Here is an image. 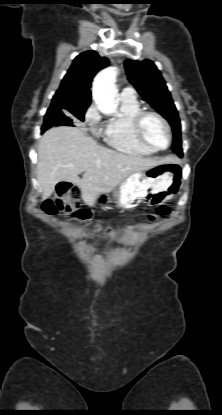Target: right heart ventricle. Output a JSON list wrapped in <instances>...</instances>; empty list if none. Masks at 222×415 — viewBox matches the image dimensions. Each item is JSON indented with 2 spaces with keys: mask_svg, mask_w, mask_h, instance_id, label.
Returning a JSON list of instances; mask_svg holds the SVG:
<instances>
[{
  "mask_svg": "<svg viewBox=\"0 0 222 415\" xmlns=\"http://www.w3.org/2000/svg\"><path fill=\"white\" fill-rule=\"evenodd\" d=\"M120 113L111 119L103 133L104 141L112 148L129 154L151 155L156 151L143 145L135 135L133 121L135 116L142 110L140 104L133 99L119 98Z\"/></svg>",
  "mask_w": 222,
  "mask_h": 415,
  "instance_id": "right-heart-ventricle-1",
  "label": "right heart ventricle"
}]
</instances>
